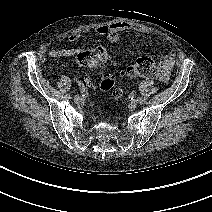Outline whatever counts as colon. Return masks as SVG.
<instances>
[{"label": "colon", "mask_w": 212, "mask_h": 212, "mask_svg": "<svg viewBox=\"0 0 212 212\" xmlns=\"http://www.w3.org/2000/svg\"><path fill=\"white\" fill-rule=\"evenodd\" d=\"M107 59V50L105 47L98 45L90 50L83 52L78 57V62L88 67L89 69H97L102 67ZM124 74L131 78H148L156 79L161 75V70L157 63L150 57H138L134 62L127 67ZM116 85L115 79L111 75H105L100 82L102 91H110ZM122 96L119 89L114 90L113 103H116Z\"/></svg>", "instance_id": "colon-1"}]
</instances>
